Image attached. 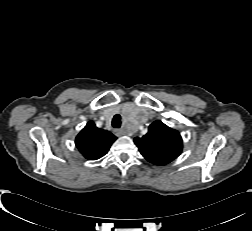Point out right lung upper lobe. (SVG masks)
<instances>
[{
  "label": "right lung upper lobe",
  "mask_w": 252,
  "mask_h": 231,
  "mask_svg": "<svg viewBox=\"0 0 252 231\" xmlns=\"http://www.w3.org/2000/svg\"><path fill=\"white\" fill-rule=\"evenodd\" d=\"M117 138L110 132L99 129L90 121L77 135L75 144L82 155L89 160L104 156Z\"/></svg>",
  "instance_id": "right-lung-upper-lobe-1"
}]
</instances>
